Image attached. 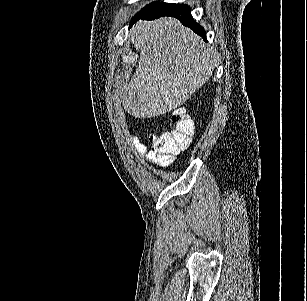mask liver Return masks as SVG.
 Returning <instances> with one entry per match:
<instances>
[{
    "label": "liver",
    "instance_id": "6515ba94",
    "mask_svg": "<svg viewBox=\"0 0 307 301\" xmlns=\"http://www.w3.org/2000/svg\"><path fill=\"white\" fill-rule=\"evenodd\" d=\"M130 40L140 56L123 88L122 106L138 118L160 116L181 106L208 82L216 66L218 52L172 16L138 20Z\"/></svg>",
    "mask_w": 307,
    "mask_h": 301
}]
</instances>
